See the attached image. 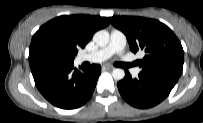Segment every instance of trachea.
Masks as SVG:
<instances>
[{
	"instance_id": "trachea-1",
	"label": "trachea",
	"mask_w": 203,
	"mask_h": 123,
	"mask_svg": "<svg viewBox=\"0 0 203 123\" xmlns=\"http://www.w3.org/2000/svg\"><path fill=\"white\" fill-rule=\"evenodd\" d=\"M116 65L119 67H122V68H127V67L131 66V64H125V63H117Z\"/></svg>"
}]
</instances>
